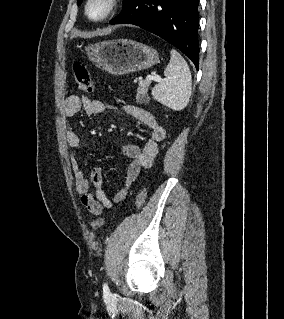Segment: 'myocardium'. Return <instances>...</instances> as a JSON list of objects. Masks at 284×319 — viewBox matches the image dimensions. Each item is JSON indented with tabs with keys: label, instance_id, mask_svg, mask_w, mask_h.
<instances>
[{
	"label": "myocardium",
	"instance_id": "obj_1",
	"mask_svg": "<svg viewBox=\"0 0 284 319\" xmlns=\"http://www.w3.org/2000/svg\"><path fill=\"white\" fill-rule=\"evenodd\" d=\"M93 1L94 0H86L84 5V14L88 20H90L91 22H96V23L103 22L109 19L116 12L120 3V0H106V3H107L106 11L104 12L102 16L94 18L89 14V7Z\"/></svg>",
	"mask_w": 284,
	"mask_h": 319
}]
</instances>
